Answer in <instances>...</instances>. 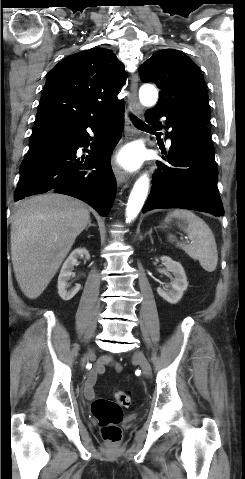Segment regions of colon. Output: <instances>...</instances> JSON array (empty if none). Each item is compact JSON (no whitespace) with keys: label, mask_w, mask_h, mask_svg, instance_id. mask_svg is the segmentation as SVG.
<instances>
[{"label":"colon","mask_w":245,"mask_h":479,"mask_svg":"<svg viewBox=\"0 0 245 479\" xmlns=\"http://www.w3.org/2000/svg\"><path fill=\"white\" fill-rule=\"evenodd\" d=\"M130 404V394L122 390H114L110 399L97 398L92 403V414L99 424L102 437L111 445L121 439L122 409Z\"/></svg>","instance_id":"colon-1"}]
</instances>
